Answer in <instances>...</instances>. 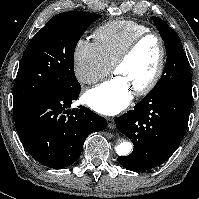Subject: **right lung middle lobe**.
Instances as JSON below:
<instances>
[{
    "mask_svg": "<svg viewBox=\"0 0 199 199\" xmlns=\"http://www.w3.org/2000/svg\"><path fill=\"white\" fill-rule=\"evenodd\" d=\"M99 17L81 11L60 13L31 39L15 80L14 112L46 96L81 90L74 74V50L87 27Z\"/></svg>",
    "mask_w": 199,
    "mask_h": 199,
    "instance_id": "obj_1",
    "label": "right lung middle lobe"
}]
</instances>
